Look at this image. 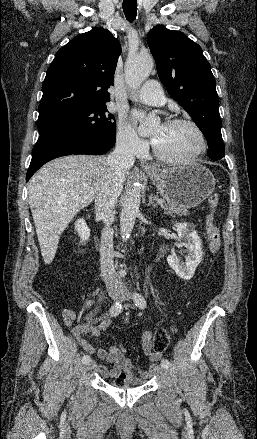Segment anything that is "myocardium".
I'll list each match as a JSON object with an SVG mask.
<instances>
[{
    "mask_svg": "<svg viewBox=\"0 0 257 439\" xmlns=\"http://www.w3.org/2000/svg\"><path fill=\"white\" fill-rule=\"evenodd\" d=\"M182 124L189 125L195 130L199 138V148L195 153H193L190 156L172 157L164 154L156 145L154 138H152L151 143H152L153 153L159 160L167 163H174V164H192L195 161H197L201 156H203L204 153L206 152L207 140L203 130L196 122L187 118H174V119H169L163 123V125L165 126L182 125Z\"/></svg>",
    "mask_w": 257,
    "mask_h": 439,
    "instance_id": "obj_1",
    "label": "myocardium"
}]
</instances>
